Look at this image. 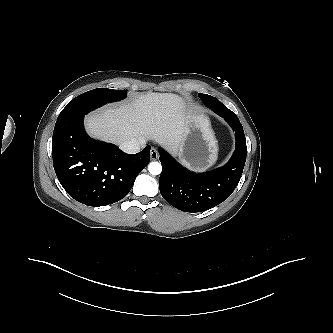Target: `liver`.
<instances>
[{
  "mask_svg": "<svg viewBox=\"0 0 333 333\" xmlns=\"http://www.w3.org/2000/svg\"><path fill=\"white\" fill-rule=\"evenodd\" d=\"M189 117L183 99L169 93H147L129 103L107 107L86 117L88 133L121 145L125 141L153 139L176 152Z\"/></svg>",
  "mask_w": 333,
  "mask_h": 333,
  "instance_id": "6515ba94",
  "label": "liver"
}]
</instances>
